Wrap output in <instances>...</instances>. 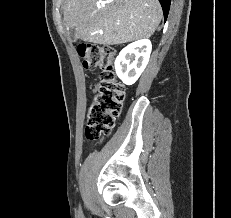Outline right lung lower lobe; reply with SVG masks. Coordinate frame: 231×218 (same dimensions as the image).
Masks as SVG:
<instances>
[{"mask_svg": "<svg viewBox=\"0 0 231 218\" xmlns=\"http://www.w3.org/2000/svg\"><path fill=\"white\" fill-rule=\"evenodd\" d=\"M159 2L163 9L164 19L166 20L168 16L169 8H170L171 0H159Z\"/></svg>", "mask_w": 231, "mask_h": 218, "instance_id": "obj_1", "label": "right lung lower lobe"}]
</instances>
